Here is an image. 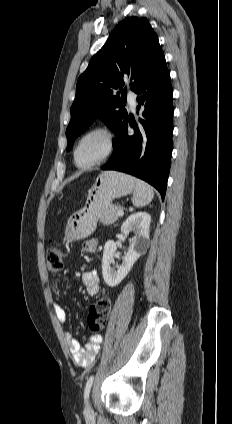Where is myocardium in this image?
Masks as SVG:
<instances>
[{
  "label": "myocardium",
  "instance_id": "1",
  "mask_svg": "<svg viewBox=\"0 0 232 424\" xmlns=\"http://www.w3.org/2000/svg\"><path fill=\"white\" fill-rule=\"evenodd\" d=\"M93 134H100L105 138V149L102 152V154L96 159H94L93 161L88 163H80L78 159L79 146L86 137ZM114 148H115V135L113 131L107 126H103V125L94 126L88 129L87 131H85L75 142V145L73 147L74 164L80 169H88V168L100 165L112 155Z\"/></svg>",
  "mask_w": 232,
  "mask_h": 424
}]
</instances>
